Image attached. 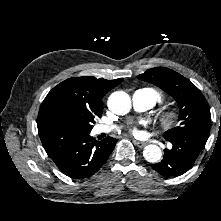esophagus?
I'll use <instances>...</instances> for the list:
<instances>
[{
    "mask_svg": "<svg viewBox=\"0 0 221 221\" xmlns=\"http://www.w3.org/2000/svg\"><path fill=\"white\" fill-rule=\"evenodd\" d=\"M133 143L138 146L139 148H143L146 143L145 142H142V141H137V140H133Z\"/></svg>",
    "mask_w": 221,
    "mask_h": 221,
    "instance_id": "esophagus-1",
    "label": "esophagus"
}]
</instances>
